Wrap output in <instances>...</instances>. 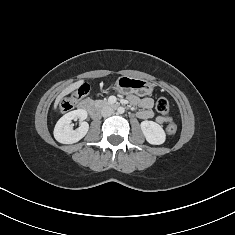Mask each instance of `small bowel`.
Wrapping results in <instances>:
<instances>
[{
    "label": "small bowel",
    "instance_id": "obj_1",
    "mask_svg": "<svg viewBox=\"0 0 235 235\" xmlns=\"http://www.w3.org/2000/svg\"><path fill=\"white\" fill-rule=\"evenodd\" d=\"M129 100L132 105L139 107L140 110L138 111L137 115L141 119H150L154 116V113L152 111L154 101L150 97L146 98H138L136 96H129ZM157 122L162 123H168L171 121L170 117L165 116H158L156 118Z\"/></svg>",
    "mask_w": 235,
    "mask_h": 235
}]
</instances>
